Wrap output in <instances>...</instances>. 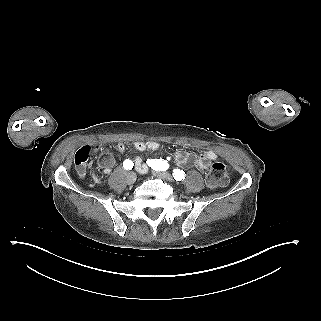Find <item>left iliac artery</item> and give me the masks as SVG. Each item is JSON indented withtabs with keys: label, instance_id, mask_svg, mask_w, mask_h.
Wrapping results in <instances>:
<instances>
[{
	"label": "left iliac artery",
	"instance_id": "44dca946",
	"mask_svg": "<svg viewBox=\"0 0 321 321\" xmlns=\"http://www.w3.org/2000/svg\"><path fill=\"white\" fill-rule=\"evenodd\" d=\"M147 164L154 170L164 171L169 168V164L163 159H148ZM172 175L176 181H181L185 179V173L180 169H174Z\"/></svg>",
	"mask_w": 321,
	"mask_h": 321
}]
</instances>
